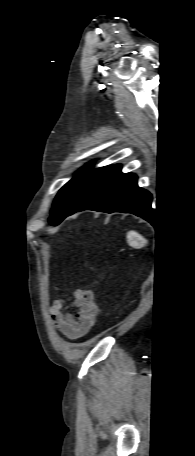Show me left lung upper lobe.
<instances>
[{"label":"left lung upper lobe","mask_w":195,"mask_h":456,"mask_svg":"<svg viewBox=\"0 0 195 456\" xmlns=\"http://www.w3.org/2000/svg\"><path fill=\"white\" fill-rule=\"evenodd\" d=\"M93 162L86 164L79 173L67 182L57 194L49 222L58 225L93 197L106 183L118 165L90 169Z\"/></svg>","instance_id":"left-lung-upper-lobe-1"}]
</instances>
